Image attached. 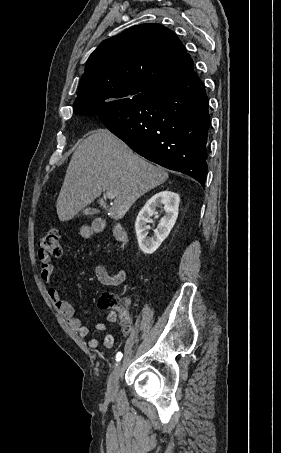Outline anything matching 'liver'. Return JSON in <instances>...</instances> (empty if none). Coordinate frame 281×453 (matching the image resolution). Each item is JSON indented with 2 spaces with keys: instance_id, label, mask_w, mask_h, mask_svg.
<instances>
[{
  "instance_id": "1",
  "label": "liver",
  "mask_w": 281,
  "mask_h": 453,
  "mask_svg": "<svg viewBox=\"0 0 281 453\" xmlns=\"http://www.w3.org/2000/svg\"><path fill=\"white\" fill-rule=\"evenodd\" d=\"M168 172L150 164L135 154L123 140L107 128L92 130L74 150L67 166L64 182L57 198L59 220H70L79 210L101 196L102 190H112L114 202L108 206L99 198L101 208L111 218H123L130 206L142 194L159 186Z\"/></svg>"
}]
</instances>
